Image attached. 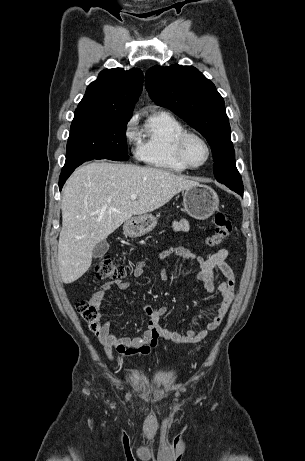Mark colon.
<instances>
[{
  "label": "colon",
  "instance_id": "1",
  "mask_svg": "<svg viewBox=\"0 0 305 461\" xmlns=\"http://www.w3.org/2000/svg\"><path fill=\"white\" fill-rule=\"evenodd\" d=\"M215 230L207 238V244L212 247L223 244L232 231V221L227 213L217 212L214 216ZM129 272L126 266L114 263L110 256L102 257L96 266V276L102 280H118L125 277ZM77 311L89 324L92 331L99 329V316L102 309L101 304L93 301H80L76 305Z\"/></svg>",
  "mask_w": 305,
  "mask_h": 461
}]
</instances>
